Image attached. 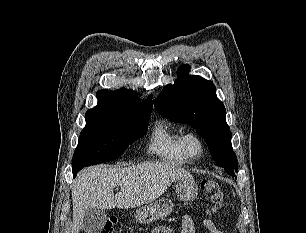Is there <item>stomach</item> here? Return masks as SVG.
Masks as SVG:
<instances>
[{"instance_id": "1", "label": "stomach", "mask_w": 306, "mask_h": 233, "mask_svg": "<svg viewBox=\"0 0 306 233\" xmlns=\"http://www.w3.org/2000/svg\"><path fill=\"white\" fill-rule=\"evenodd\" d=\"M176 194L181 201H192L197 197L198 187L193 178L180 179L176 185ZM173 203L168 198H160L137 209L135 219L141 224H147L169 216Z\"/></svg>"}]
</instances>
